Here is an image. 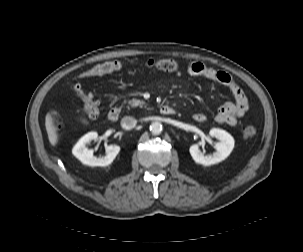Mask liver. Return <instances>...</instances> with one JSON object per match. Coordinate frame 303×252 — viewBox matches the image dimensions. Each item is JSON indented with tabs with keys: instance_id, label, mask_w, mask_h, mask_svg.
<instances>
[{
	"instance_id": "liver-1",
	"label": "liver",
	"mask_w": 303,
	"mask_h": 252,
	"mask_svg": "<svg viewBox=\"0 0 303 252\" xmlns=\"http://www.w3.org/2000/svg\"><path fill=\"white\" fill-rule=\"evenodd\" d=\"M46 130L51 145L56 146V144L58 143L57 128L54 126L53 119L50 114L46 118Z\"/></svg>"
}]
</instances>
